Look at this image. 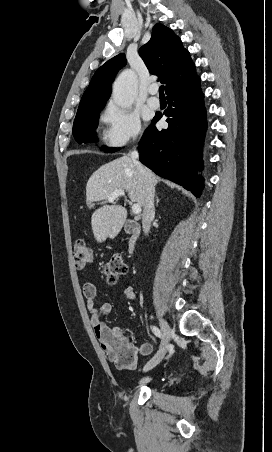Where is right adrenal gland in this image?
<instances>
[{
    "instance_id": "2a0ac1e0",
    "label": "right adrenal gland",
    "mask_w": 272,
    "mask_h": 452,
    "mask_svg": "<svg viewBox=\"0 0 272 452\" xmlns=\"http://www.w3.org/2000/svg\"><path fill=\"white\" fill-rule=\"evenodd\" d=\"M158 203H159V198H158V196L156 195V206H158Z\"/></svg>"
}]
</instances>
